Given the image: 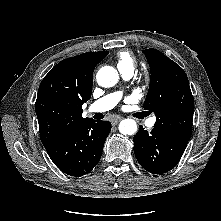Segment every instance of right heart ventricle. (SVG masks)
<instances>
[{
  "label": "right heart ventricle",
  "mask_w": 221,
  "mask_h": 221,
  "mask_svg": "<svg viewBox=\"0 0 221 221\" xmlns=\"http://www.w3.org/2000/svg\"><path fill=\"white\" fill-rule=\"evenodd\" d=\"M117 68L120 72L124 71H133L136 67V61L133 54L129 51L123 50L120 51L117 55Z\"/></svg>",
  "instance_id": "1"
}]
</instances>
